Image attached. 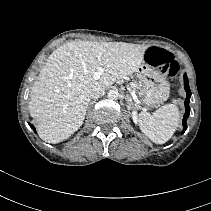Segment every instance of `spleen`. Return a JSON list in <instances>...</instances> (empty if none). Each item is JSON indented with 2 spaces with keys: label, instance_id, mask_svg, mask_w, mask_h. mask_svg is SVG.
Masks as SVG:
<instances>
[{
  "label": "spleen",
  "instance_id": "spleen-1",
  "mask_svg": "<svg viewBox=\"0 0 211 211\" xmlns=\"http://www.w3.org/2000/svg\"><path fill=\"white\" fill-rule=\"evenodd\" d=\"M179 110L175 103L162 106L153 114H140L139 126L142 132L154 143L167 142L176 131L179 124Z\"/></svg>",
  "mask_w": 211,
  "mask_h": 211
}]
</instances>
